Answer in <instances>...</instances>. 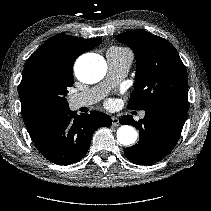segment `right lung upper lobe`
Masks as SVG:
<instances>
[{
  "label": "right lung upper lobe",
  "mask_w": 211,
  "mask_h": 211,
  "mask_svg": "<svg viewBox=\"0 0 211 211\" xmlns=\"http://www.w3.org/2000/svg\"><path fill=\"white\" fill-rule=\"evenodd\" d=\"M100 38L82 39L57 34L39 47L27 60L19 86L22 115L32 132L56 113L65 109L38 104L26 92V82L37 68H45L58 78L73 83V64L77 57L101 43Z\"/></svg>",
  "instance_id": "cb5924a9"
}]
</instances>
